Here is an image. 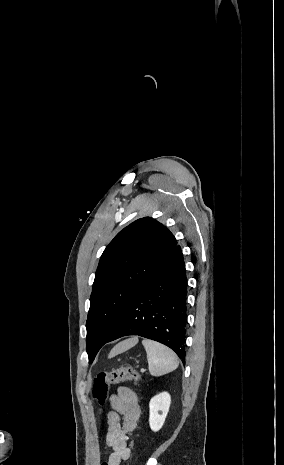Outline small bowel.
<instances>
[{
	"label": "small bowel",
	"instance_id": "c3829d8e",
	"mask_svg": "<svg viewBox=\"0 0 284 465\" xmlns=\"http://www.w3.org/2000/svg\"><path fill=\"white\" fill-rule=\"evenodd\" d=\"M110 406L112 410L107 415L105 441L112 453L102 465H120L121 461L131 456L128 439L137 426L141 410L135 392L124 386L111 396Z\"/></svg>",
	"mask_w": 284,
	"mask_h": 465
}]
</instances>
